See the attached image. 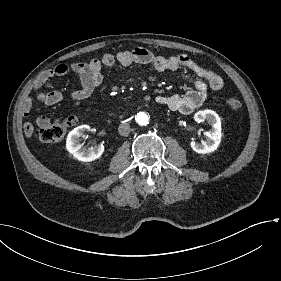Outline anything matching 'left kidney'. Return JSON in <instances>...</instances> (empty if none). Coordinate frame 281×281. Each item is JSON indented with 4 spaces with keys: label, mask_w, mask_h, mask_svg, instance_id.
I'll list each match as a JSON object with an SVG mask.
<instances>
[{
    "label": "left kidney",
    "mask_w": 281,
    "mask_h": 281,
    "mask_svg": "<svg viewBox=\"0 0 281 281\" xmlns=\"http://www.w3.org/2000/svg\"><path fill=\"white\" fill-rule=\"evenodd\" d=\"M194 120L197 122L207 121L211 124V130L206 133V142H190L192 150L199 154H207L216 151L221 142V120L218 114L213 110L198 111L194 115Z\"/></svg>",
    "instance_id": "1"
}]
</instances>
